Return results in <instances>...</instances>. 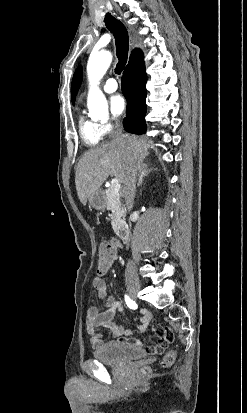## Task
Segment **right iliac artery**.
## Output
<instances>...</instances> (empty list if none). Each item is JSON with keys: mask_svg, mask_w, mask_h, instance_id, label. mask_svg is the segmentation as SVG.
Wrapping results in <instances>:
<instances>
[{"mask_svg": "<svg viewBox=\"0 0 247 413\" xmlns=\"http://www.w3.org/2000/svg\"><path fill=\"white\" fill-rule=\"evenodd\" d=\"M125 302L130 309H136L138 306L128 295H125Z\"/></svg>", "mask_w": 247, "mask_h": 413, "instance_id": "right-iliac-artery-1", "label": "right iliac artery"}]
</instances>
